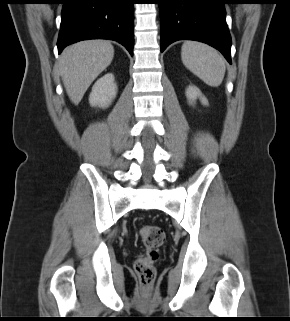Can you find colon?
I'll list each match as a JSON object with an SVG mask.
<instances>
[{
  "label": "colon",
  "instance_id": "5ec220e1",
  "mask_svg": "<svg viewBox=\"0 0 290 321\" xmlns=\"http://www.w3.org/2000/svg\"><path fill=\"white\" fill-rule=\"evenodd\" d=\"M140 236L146 252L135 262V272L145 287L155 278V263L159 259V247L165 240L164 231L159 226L146 225L140 229Z\"/></svg>",
  "mask_w": 290,
  "mask_h": 321
}]
</instances>
